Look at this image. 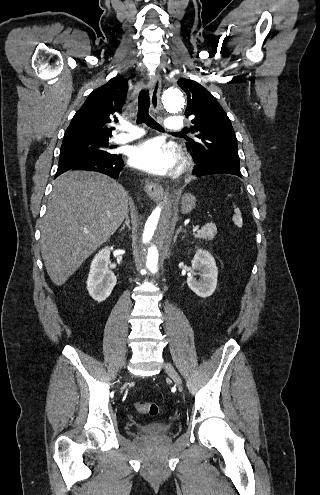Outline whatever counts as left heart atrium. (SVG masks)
I'll return each instance as SVG.
<instances>
[{"label":"left heart atrium","instance_id":"obj_1","mask_svg":"<svg viewBox=\"0 0 320 495\" xmlns=\"http://www.w3.org/2000/svg\"><path fill=\"white\" fill-rule=\"evenodd\" d=\"M129 160L138 169L161 175L169 173L176 167L178 157L159 140L150 139L133 146Z\"/></svg>","mask_w":320,"mask_h":495}]
</instances>
